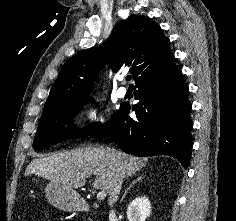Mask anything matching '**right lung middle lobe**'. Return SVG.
Segmentation results:
<instances>
[{"label":"right lung middle lobe","instance_id":"right-lung-middle-lobe-1","mask_svg":"<svg viewBox=\"0 0 236 221\" xmlns=\"http://www.w3.org/2000/svg\"><path fill=\"white\" fill-rule=\"evenodd\" d=\"M85 97L74 99L55 109L43 112L34 140L35 150H42L69 138L92 135L106 124L95 123L84 130L74 125L73 118L76 116L78 110L84 103L90 100V98L85 99Z\"/></svg>","mask_w":236,"mask_h":221}]
</instances>
